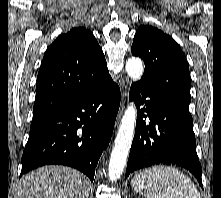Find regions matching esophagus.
I'll list each match as a JSON object with an SVG mask.
<instances>
[{
  "mask_svg": "<svg viewBox=\"0 0 221 198\" xmlns=\"http://www.w3.org/2000/svg\"><path fill=\"white\" fill-rule=\"evenodd\" d=\"M123 96H126V92H124ZM123 109H124V104L122 105V109H121V111H120L119 118H120V116H121V114H122V112H123Z\"/></svg>",
  "mask_w": 221,
  "mask_h": 198,
  "instance_id": "34e87169",
  "label": "esophagus"
}]
</instances>
